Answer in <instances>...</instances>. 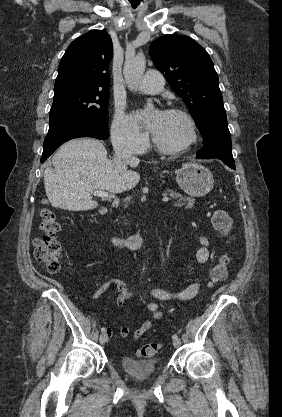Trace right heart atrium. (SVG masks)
Wrapping results in <instances>:
<instances>
[{
  "instance_id": "1",
  "label": "right heart atrium",
  "mask_w": 282,
  "mask_h": 417,
  "mask_svg": "<svg viewBox=\"0 0 282 417\" xmlns=\"http://www.w3.org/2000/svg\"><path fill=\"white\" fill-rule=\"evenodd\" d=\"M111 140L118 152L142 153L148 143V135L141 131L122 111L117 110L111 127Z\"/></svg>"
}]
</instances>
